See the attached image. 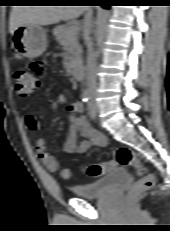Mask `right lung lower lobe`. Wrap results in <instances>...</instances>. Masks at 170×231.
Returning a JSON list of instances; mask_svg holds the SVG:
<instances>
[{
  "mask_svg": "<svg viewBox=\"0 0 170 231\" xmlns=\"http://www.w3.org/2000/svg\"><path fill=\"white\" fill-rule=\"evenodd\" d=\"M104 8H109V6H107L105 3H102V5Z\"/></svg>",
  "mask_w": 170,
  "mask_h": 231,
  "instance_id": "1",
  "label": "right lung lower lobe"
}]
</instances>
